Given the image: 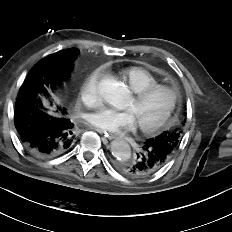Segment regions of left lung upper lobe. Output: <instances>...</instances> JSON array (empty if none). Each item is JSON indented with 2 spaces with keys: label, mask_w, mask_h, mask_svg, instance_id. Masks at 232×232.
Listing matches in <instances>:
<instances>
[{
  "label": "left lung upper lobe",
  "mask_w": 232,
  "mask_h": 232,
  "mask_svg": "<svg viewBox=\"0 0 232 232\" xmlns=\"http://www.w3.org/2000/svg\"><path fill=\"white\" fill-rule=\"evenodd\" d=\"M180 139L181 131L178 128H175L165 131L161 135L152 138L151 140L164 145L167 149L171 151L173 155L180 144Z\"/></svg>",
  "instance_id": "5c2ea615"
}]
</instances>
